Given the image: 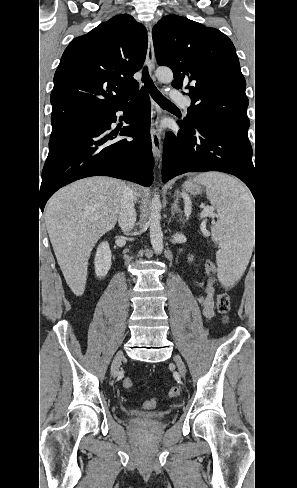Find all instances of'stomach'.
I'll use <instances>...</instances> for the list:
<instances>
[{
  "instance_id": "stomach-1",
  "label": "stomach",
  "mask_w": 297,
  "mask_h": 488,
  "mask_svg": "<svg viewBox=\"0 0 297 488\" xmlns=\"http://www.w3.org/2000/svg\"><path fill=\"white\" fill-rule=\"evenodd\" d=\"M183 189L190 194H198L202 192L201 185L193 180H188L184 183Z\"/></svg>"
}]
</instances>
